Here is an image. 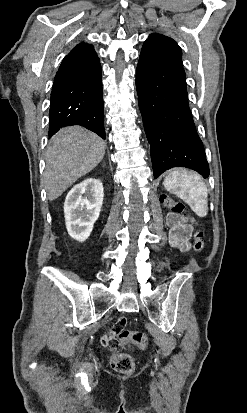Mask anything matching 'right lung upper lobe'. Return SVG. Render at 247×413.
<instances>
[{
    "label": "right lung upper lobe",
    "mask_w": 247,
    "mask_h": 413,
    "mask_svg": "<svg viewBox=\"0 0 247 413\" xmlns=\"http://www.w3.org/2000/svg\"><path fill=\"white\" fill-rule=\"evenodd\" d=\"M97 62H99V58L94 50V47L91 44L80 43L75 46L68 55H66L60 67H80L85 64Z\"/></svg>",
    "instance_id": "right-lung-upper-lobe-1"
}]
</instances>
